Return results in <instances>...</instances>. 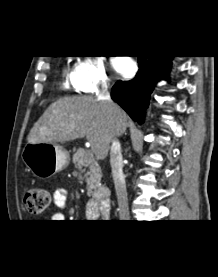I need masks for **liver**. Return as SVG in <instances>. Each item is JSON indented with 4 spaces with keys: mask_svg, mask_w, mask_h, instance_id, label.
Instances as JSON below:
<instances>
[{
    "mask_svg": "<svg viewBox=\"0 0 218 277\" xmlns=\"http://www.w3.org/2000/svg\"><path fill=\"white\" fill-rule=\"evenodd\" d=\"M127 125V115L119 106L114 113L107 103L90 96L65 97L52 103L34 124L28 143L86 137L97 158L104 159L113 137L122 135Z\"/></svg>",
    "mask_w": 218,
    "mask_h": 277,
    "instance_id": "liver-1",
    "label": "liver"
}]
</instances>
